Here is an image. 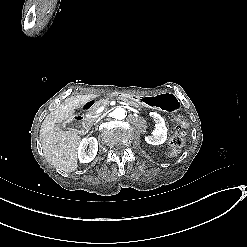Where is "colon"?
I'll use <instances>...</instances> for the list:
<instances>
[{"mask_svg":"<svg viewBox=\"0 0 247 247\" xmlns=\"http://www.w3.org/2000/svg\"><path fill=\"white\" fill-rule=\"evenodd\" d=\"M187 128L186 120L183 117H177L174 120V131L171 135L170 144L178 151L183 147L184 135Z\"/></svg>","mask_w":247,"mask_h":247,"instance_id":"1","label":"colon"}]
</instances>
